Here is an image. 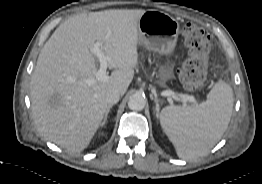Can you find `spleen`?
Listing matches in <instances>:
<instances>
[{
	"instance_id": "spleen-1",
	"label": "spleen",
	"mask_w": 262,
	"mask_h": 184,
	"mask_svg": "<svg viewBox=\"0 0 262 184\" xmlns=\"http://www.w3.org/2000/svg\"><path fill=\"white\" fill-rule=\"evenodd\" d=\"M233 102L232 88L219 80L201 104L162 109L160 124L179 158L192 160L213 148L229 125Z\"/></svg>"
}]
</instances>
